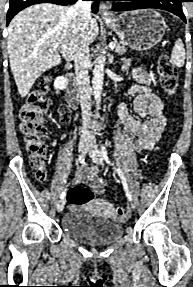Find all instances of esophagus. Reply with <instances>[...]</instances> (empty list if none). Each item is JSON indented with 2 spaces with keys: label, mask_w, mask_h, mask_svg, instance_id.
<instances>
[{
  "label": "esophagus",
  "mask_w": 193,
  "mask_h": 287,
  "mask_svg": "<svg viewBox=\"0 0 193 287\" xmlns=\"http://www.w3.org/2000/svg\"><path fill=\"white\" fill-rule=\"evenodd\" d=\"M99 12L101 18L104 20L110 19L112 17L110 11L104 3H100Z\"/></svg>",
  "instance_id": "obj_1"
}]
</instances>
